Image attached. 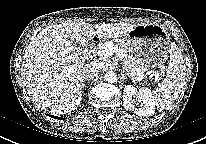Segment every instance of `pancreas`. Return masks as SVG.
Instances as JSON below:
<instances>
[{
  "label": "pancreas",
  "mask_w": 206,
  "mask_h": 144,
  "mask_svg": "<svg viewBox=\"0 0 206 144\" xmlns=\"http://www.w3.org/2000/svg\"><path fill=\"white\" fill-rule=\"evenodd\" d=\"M114 45L121 49V60L123 67L126 69L127 74L132 79H137L139 76H143L146 72L145 68H141L138 62L131 56L126 43L122 39L111 40L104 45Z\"/></svg>",
  "instance_id": "obj_1"
}]
</instances>
